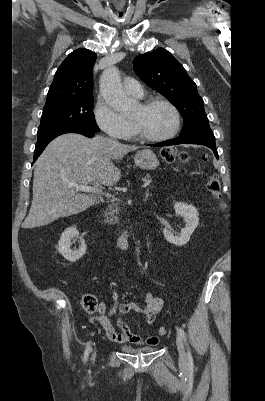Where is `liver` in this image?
I'll use <instances>...</instances> for the list:
<instances>
[{"label":"liver","instance_id":"obj_1","mask_svg":"<svg viewBox=\"0 0 265 401\" xmlns=\"http://www.w3.org/2000/svg\"><path fill=\"white\" fill-rule=\"evenodd\" d=\"M139 146L120 144L114 138H86L68 132L49 142L35 162L33 198L23 229L49 225L60 217H70L98 203V196L81 194L73 184L113 186L121 178V170L112 162Z\"/></svg>","mask_w":265,"mask_h":401}]
</instances>
